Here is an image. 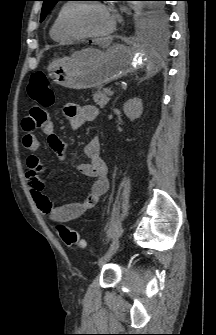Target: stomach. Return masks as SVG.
Instances as JSON below:
<instances>
[{"label":"stomach","instance_id":"stomach-1","mask_svg":"<svg viewBox=\"0 0 216 335\" xmlns=\"http://www.w3.org/2000/svg\"><path fill=\"white\" fill-rule=\"evenodd\" d=\"M147 55L136 46L113 44L105 51L87 48L52 62L47 71L53 82L71 89L102 88L142 68Z\"/></svg>","mask_w":216,"mask_h":335}]
</instances>
